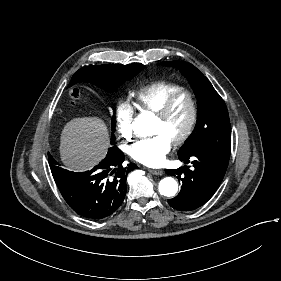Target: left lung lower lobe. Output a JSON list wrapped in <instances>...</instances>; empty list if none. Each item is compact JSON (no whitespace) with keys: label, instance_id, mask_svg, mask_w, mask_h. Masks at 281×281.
I'll return each instance as SVG.
<instances>
[{"label":"left lung lower lobe","instance_id":"obj_1","mask_svg":"<svg viewBox=\"0 0 281 281\" xmlns=\"http://www.w3.org/2000/svg\"><path fill=\"white\" fill-rule=\"evenodd\" d=\"M179 159L184 163L192 160V168L189 170L184 166L182 169L166 170L169 175H177L183 183L179 194L169 199L168 203L177 210H195L214 195L223 180L229 160L204 150L179 155Z\"/></svg>","mask_w":281,"mask_h":281}]
</instances>
